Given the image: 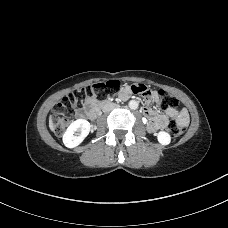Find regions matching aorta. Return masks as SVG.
I'll return each mask as SVG.
<instances>
[{
    "instance_id": "aorta-1",
    "label": "aorta",
    "mask_w": 228,
    "mask_h": 228,
    "mask_svg": "<svg viewBox=\"0 0 228 228\" xmlns=\"http://www.w3.org/2000/svg\"><path fill=\"white\" fill-rule=\"evenodd\" d=\"M128 105L130 109L135 110L138 108L139 103L136 100H131L129 101Z\"/></svg>"
}]
</instances>
